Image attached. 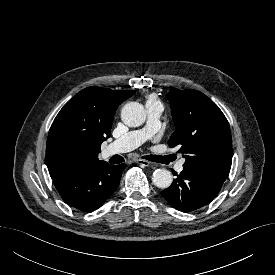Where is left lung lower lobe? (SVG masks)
I'll return each mask as SVG.
<instances>
[{
  "label": "left lung lower lobe",
  "mask_w": 275,
  "mask_h": 275,
  "mask_svg": "<svg viewBox=\"0 0 275 275\" xmlns=\"http://www.w3.org/2000/svg\"><path fill=\"white\" fill-rule=\"evenodd\" d=\"M183 171L161 195L182 212L197 210L210 203L227 179L216 173L183 166Z\"/></svg>",
  "instance_id": "1"
}]
</instances>
